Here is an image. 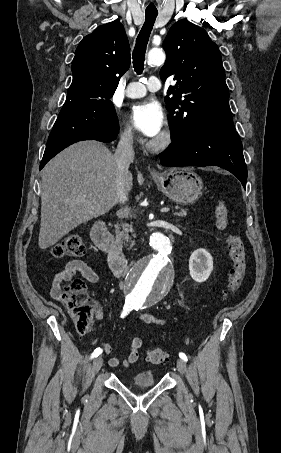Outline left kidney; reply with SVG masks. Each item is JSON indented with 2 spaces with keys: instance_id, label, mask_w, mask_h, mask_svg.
Here are the masks:
<instances>
[{
  "instance_id": "5707ae66",
  "label": "left kidney",
  "mask_w": 281,
  "mask_h": 453,
  "mask_svg": "<svg viewBox=\"0 0 281 453\" xmlns=\"http://www.w3.org/2000/svg\"><path fill=\"white\" fill-rule=\"evenodd\" d=\"M189 271L196 283H204L213 271V257L206 249H197L189 259Z\"/></svg>"
}]
</instances>
